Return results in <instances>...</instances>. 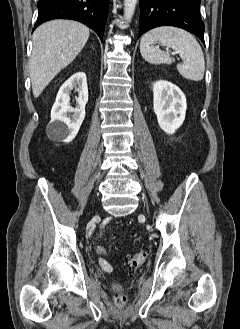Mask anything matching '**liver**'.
<instances>
[{"label": "liver", "mask_w": 240, "mask_h": 329, "mask_svg": "<svg viewBox=\"0 0 240 329\" xmlns=\"http://www.w3.org/2000/svg\"><path fill=\"white\" fill-rule=\"evenodd\" d=\"M89 38L85 25L71 20H53L40 25L33 34L29 73L35 98L53 78L68 66Z\"/></svg>", "instance_id": "liver-1"}]
</instances>
